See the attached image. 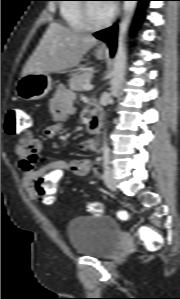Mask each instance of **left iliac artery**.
I'll return each instance as SVG.
<instances>
[{"mask_svg":"<svg viewBox=\"0 0 180 299\" xmlns=\"http://www.w3.org/2000/svg\"><path fill=\"white\" fill-rule=\"evenodd\" d=\"M110 162V150L105 148L103 150V167L106 168Z\"/></svg>","mask_w":180,"mask_h":299,"instance_id":"1","label":"left iliac artery"}]
</instances>
